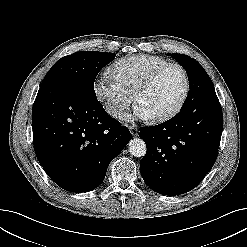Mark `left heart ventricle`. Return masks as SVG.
Here are the masks:
<instances>
[{
    "label": "left heart ventricle",
    "instance_id": "b2bd125f",
    "mask_svg": "<svg viewBox=\"0 0 247 247\" xmlns=\"http://www.w3.org/2000/svg\"><path fill=\"white\" fill-rule=\"evenodd\" d=\"M183 89L182 72L178 68H170L139 96L137 104L143 106L152 117L158 116L175 106Z\"/></svg>",
    "mask_w": 247,
    "mask_h": 247
}]
</instances>
